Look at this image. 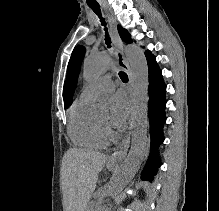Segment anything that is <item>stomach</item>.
<instances>
[{"instance_id": "obj_1", "label": "stomach", "mask_w": 219, "mask_h": 211, "mask_svg": "<svg viewBox=\"0 0 219 211\" xmlns=\"http://www.w3.org/2000/svg\"><path fill=\"white\" fill-rule=\"evenodd\" d=\"M107 168L110 169V170H113V169H115V165L108 164Z\"/></svg>"}]
</instances>
